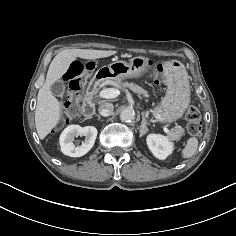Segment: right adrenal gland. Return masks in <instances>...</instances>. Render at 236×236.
Masks as SVG:
<instances>
[{
	"mask_svg": "<svg viewBox=\"0 0 236 236\" xmlns=\"http://www.w3.org/2000/svg\"><path fill=\"white\" fill-rule=\"evenodd\" d=\"M96 117H98L99 120L101 119L100 115H96Z\"/></svg>",
	"mask_w": 236,
	"mask_h": 236,
	"instance_id": "1",
	"label": "right adrenal gland"
}]
</instances>
